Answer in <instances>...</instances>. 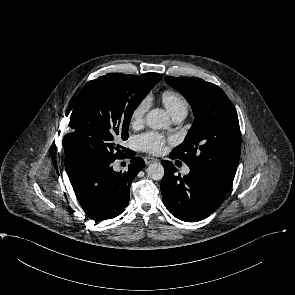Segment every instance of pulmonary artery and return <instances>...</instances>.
I'll return each mask as SVG.
<instances>
[{
	"label": "pulmonary artery",
	"mask_w": 295,
	"mask_h": 295,
	"mask_svg": "<svg viewBox=\"0 0 295 295\" xmlns=\"http://www.w3.org/2000/svg\"><path fill=\"white\" fill-rule=\"evenodd\" d=\"M173 119H174L175 123H179L181 120L184 119V117H176V118H173ZM182 172H183V174H188L190 172L189 167H184Z\"/></svg>",
	"instance_id": "pulmonary-artery-1"
}]
</instances>
